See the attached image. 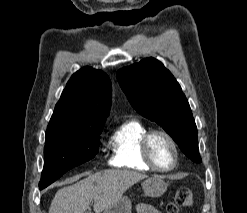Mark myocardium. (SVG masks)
<instances>
[{"label":"myocardium","instance_id":"obj_1","mask_svg":"<svg viewBox=\"0 0 247 213\" xmlns=\"http://www.w3.org/2000/svg\"><path fill=\"white\" fill-rule=\"evenodd\" d=\"M157 135H160V136H163L164 138H166L173 149L174 161H173V164L168 168H162V167L158 166L152 157L151 141H152V138L157 136ZM141 155H142L144 161L153 170L158 171V172H163V173L170 172V171L174 170L176 168V166L178 165V162H179V149H178V145H177L175 139L168 132H166L164 130H160V129L150 130L143 136V138L141 140Z\"/></svg>","mask_w":247,"mask_h":213}]
</instances>
